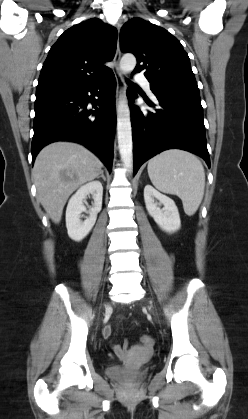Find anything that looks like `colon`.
Listing matches in <instances>:
<instances>
[{
    "label": "colon",
    "mask_w": 248,
    "mask_h": 419,
    "mask_svg": "<svg viewBox=\"0 0 248 419\" xmlns=\"http://www.w3.org/2000/svg\"><path fill=\"white\" fill-rule=\"evenodd\" d=\"M141 342L143 343L144 346H146L147 348H151L153 346V339L150 336L147 335H143L141 337Z\"/></svg>",
    "instance_id": "5ec220e1"
}]
</instances>
